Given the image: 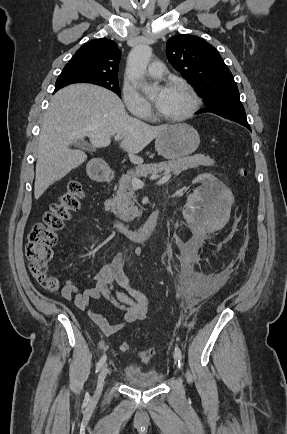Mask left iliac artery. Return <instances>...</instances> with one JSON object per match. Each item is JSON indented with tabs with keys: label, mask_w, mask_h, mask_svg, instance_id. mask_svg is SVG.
<instances>
[{
	"label": "left iliac artery",
	"mask_w": 287,
	"mask_h": 434,
	"mask_svg": "<svg viewBox=\"0 0 287 434\" xmlns=\"http://www.w3.org/2000/svg\"><path fill=\"white\" fill-rule=\"evenodd\" d=\"M175 353L177 355L178 365L180 366V364L182 363L183 356H182V352L178 346H175Z\"/></svg>",
	"instance_id": "obj_1"
}]
</instances>
